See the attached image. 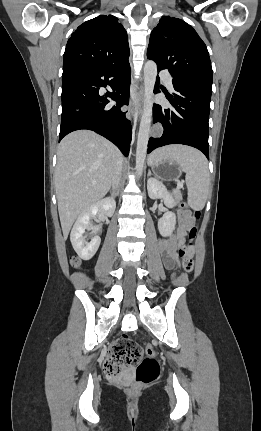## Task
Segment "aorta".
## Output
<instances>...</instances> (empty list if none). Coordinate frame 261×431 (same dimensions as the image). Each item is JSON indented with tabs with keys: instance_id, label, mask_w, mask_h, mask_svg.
Wrapping results in <instances>:
<instances>
[{
	"instance_id": "762f6f07",
	"label": "aorta",
	"mask_w": 261,
	"mask_h": 431,
	"mask_svg": "<svg viewBox=\"0 0 261 431\" xmlns=\"http://www.w3.org/2000/svg\"><path fill=\"white\" fill-rule=\"evenodd\" d=\"M156 76V63L154 61H147L144 66V109L141 117L136 148V172L138 176L142 175L147 154L153 108L152 97Z\"/></svg>"
}]
</instances>
